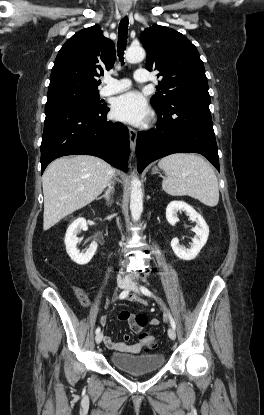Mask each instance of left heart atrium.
Listing matches in <instances>:
<instances>
[{
  "instance_id": "obj_1",
  "label": "left heart atrium",
  "mask_w": 264,
  "mask_h": 415,
  "mask_svg": "<svg viewBox=\"0 0 264 415\" xmlns=\"http://www.w3.org/2000/svg\"><path fill=\"white\" fill-rule=\"evenodd\" d=\"M112 113L117 120L131 124H140L149 117L147 103L136 91L118 96L113 102Z\"/></svg>"
}]
</instances>
